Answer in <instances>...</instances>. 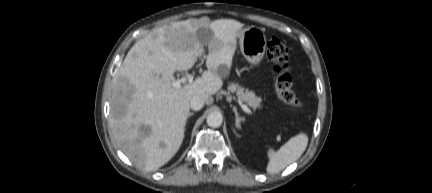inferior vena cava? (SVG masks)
Instances as JSON below:
<instances>
[{
	"mask_svg": "<svg viewBox=\"0 0 432 193\" xmlns=\"http://www.w3.org/2000/svg\"><path fill=\"white\" fill-rule=\"evenodd\" d=\"M205 104V99L201 95H194L190 101V107L192 110H200Z\"/></svg>",
	"mask_w": 432,
	"mask_h": 193,
	"instance_id": "inferior-vena-cava-1",
	"label": "inferior vena cava"
}]
</instances>
